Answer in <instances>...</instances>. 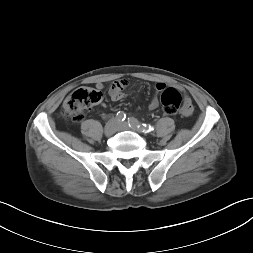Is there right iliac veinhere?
I'll use <instances>...</instances> for the list:
<instances>
[{"label":"right iliac vein","instance_id":"63e3f726","mask_svg":"<svg viewBox=\"0 0 253 253\" xmlns=\"http://www.w3.org/2000/svg\"><path fill=\"white\" fill-rule=\"evenodd\" d=\"M118 128L119 122L114 118L110 119L104 127V133L106 136H111L118 131Z\"/></svg>","mask_w":253,"mask_h":253}]
</instances>
